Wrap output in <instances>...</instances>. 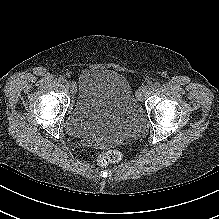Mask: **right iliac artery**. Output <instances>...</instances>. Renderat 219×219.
<instances>
[{
    "instance_id": "82829eb1",
    "label": "right iliac artery",
    "mask_w": 219,
    "mask_h": 219,
    "mask_svg": "<svg viewBox=\"0 0 219 219\" xmlns=\"http://www.w3.org/2000/svg\"><path fill=\"white\" fill-rule=\"evenodd\" d=\"M59 81H60V82H65V81H66V80H65V77H64V76H60V77H59Z\"/></svg>"
}]
</instances>
